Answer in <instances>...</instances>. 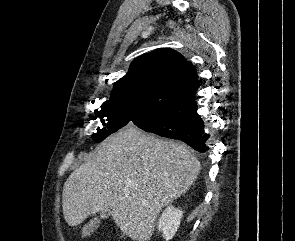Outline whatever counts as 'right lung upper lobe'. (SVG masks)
<instances>
[{"instance_id": "right-lung-upper-lobe-1", "label": "right lung upper lobe", "mask_w": 295, "mask_h": 241, "mask_svg": "<svg viewBox=\"0 0 295 241\" xmlns=\"http://www.w3.org/2000/svg\"><path fill=\"white\" fill-rule=\"evenodd\" d=\"M197 72L178 52L160 48L137 57L119 79L111 99L129 101L164 113L195 100Z\"/></svg>"}]
</instances>
